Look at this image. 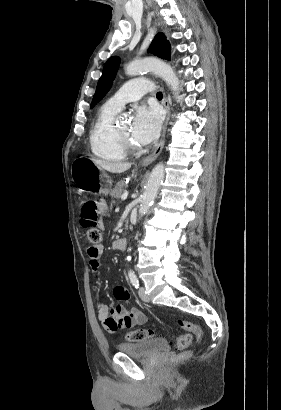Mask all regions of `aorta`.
I'll list each match as a JSON object with an SVG mask.
<instances>
[{"label":"aorta","instance_id":"1","mask_svg":"<svg viewBox=\"0 0 281 410\" xmlns=\"http://www.w3.org/2000/svg\"><path fill=\"white\" fill-rule=\"evenodd\" d=\"M143 71H152L160 76L167 85L171 88L175 95L179 94V80L172 67L167 63L158 59H142L131 62L126 68V74L129 76H135ZM165 170L162 163L157 164L149 177L146 184L144 193L141 198V204L139 208L140 218L144 216L153 201L155 200L159 187L164 179ZM131 248H129V251ZM127 260L130 261L131 257L127 256Z\"/></svg>","mask_w":281,"mask_h":410}]
</instances>
